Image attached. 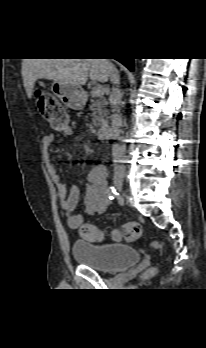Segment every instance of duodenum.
<instances>
[{
    "instance_id": "obj_1",
    "label": "duodenum",
    "mask_w": 206,
    "mask_h": 348,
    "mask_svg": "<svg viewBox=\"0 0 206 348\" xmlns=\"http://www.w3.org/2000/svg\"><path fill=\"white\" fill-rule=\"evenodd\" d=\"M112 133H113L112 127L109 125H105L99 130L98 136L101 139H109L112 136Z\"/></svg>"
}]
</instances>
